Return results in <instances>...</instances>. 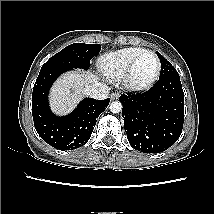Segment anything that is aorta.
I'll return each mask as SVG.
<instances>
[{
    "mask_svg": "<svg viewBox=\"0 0 214 214\" xmlns=\"http://www.w3.org/2000/svg\"><path fill=\"white\" fill-rule=\"evenodd\" d=\"M122 104L119 101H114L110 104V111L112 113H119L122 111Z\"/></svg>",
    "mask_w": 214,
    "mask_h": 214,
    "instance_id": "obj_1",
    "label": "aorta"
}]
</instances>
